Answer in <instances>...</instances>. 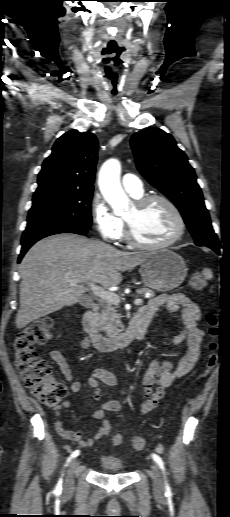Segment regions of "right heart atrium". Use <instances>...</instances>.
<instances>
[{"instance_id":"1","label":"right heart atrium","mask_w":230,"mask_h":517,"mask_svg":"<svg viewBox=\"0 0 230 517\" xmlns=\"http://www.w3.org/2000/svg\"><path fill=\"white\" fill-rule=\"evenodd\" d=\"M91 211L97 231L104 240L112 242L122 237L123 221L113 213L103 199H94Z\"/></svg>"}]
</instances>
